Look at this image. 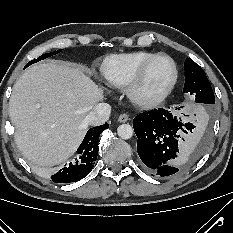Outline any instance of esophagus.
<instances>
[{
	"label": "esophagus",
	"instance_id": "1",
	"mask_svg": "<svg viewBox=\"0 0 233 233\" xmlns=\"http://www.w3.org/2000/svg\"><path fill=\"white\" fill-rule=\"evenodd\" d=\"M128 120H129V116H128L126 113L121 114V115L119 116V118H118V121H119L120 123H125V122H127Z\"/></svg>",
	"mask_w": 233,
	"mask_h": 233
}]
</instances>
